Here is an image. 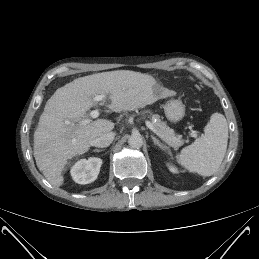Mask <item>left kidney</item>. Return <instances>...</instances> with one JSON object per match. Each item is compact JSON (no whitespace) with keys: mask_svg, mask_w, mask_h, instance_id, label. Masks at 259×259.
Returning <instances> with one entry per match:
<instances>
[{"mask_svg":"<svg viewBox=\"0 0 259 259\" xmlns=\"http://www.w3.org/2000/svg\"><path fill=\"white\" fill-rule=\"evenodd\" d=\"M169 169H170V171H172V172H174V173L177 172V169H176L175 167H173V166H169Z\"/></svg>","mask_w":259,"mask_h":259,"instance_id":"obj_1","label":"left kidney"}]
</instances>
